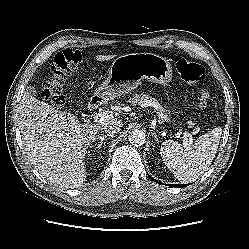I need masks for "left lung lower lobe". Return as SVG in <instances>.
<instances>
[{
  "label": "left lung lower lobe",
  "instance_id": "0a47b994",
  "mask_svg": "<svg viewBox=\"0 0 249 249\" xmlns=\"http://www.w3.org/2000/svg\"><path fill=\"white\" fill-rule=\"evenodd\" d=\"M149 176V178L151 179V180H153V181H155V182H157L156 180H154L150 175H148ZM159 183V182H158ZM170 186H172V187H179V188H181V187H185L186 186V184H179V185H177V184H174V185H170Z\"/></svg>",
  "mask_w": 249,
  "mask_h": 249
}]
</instances>
